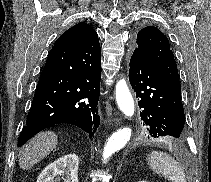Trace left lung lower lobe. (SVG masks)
<instances>
[{
    "mask_svg": "<svg viewBox=\"0 0 211 182\" xmlns=\"http://www.w3.org/2000/svg\"><path fill=\"white\" fill-rule=\"evenodd\" d=\"M129 81L136 92L146 136L178 141L184 135V109L181 91L171 86L165 77L138 50H134L129 69Z\"/></svg>",
    "mask_w": 211,
    "mask_h": 182,
    "instance_id": "left-lung-lower-lobe-1",
    "label": "left lung lower lobe"
}]
</instances>
